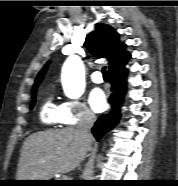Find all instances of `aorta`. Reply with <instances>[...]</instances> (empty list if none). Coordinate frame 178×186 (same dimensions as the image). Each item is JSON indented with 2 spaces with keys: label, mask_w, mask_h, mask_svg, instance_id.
Masks as SVG:
<instances>
[{
  "label": "aorta",
  "mask_w": 178,
  "mask_h": 186,
  "mask_svg": "<svg viewBox=\"0 0 178 186\" xmlns=\"http://www.w3.org/2000/svg\"><path fill=\"white\" fill-rule=\"evenodd\" d=\"M61 81L65 95L71 99L79 98L85 89L84 66L81 59L72 55L62 68Z\"/></svg>",
  "instance_id": "762f6f07"
}]
</instances>
